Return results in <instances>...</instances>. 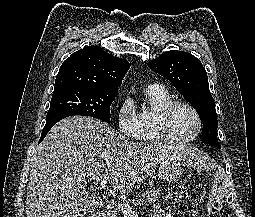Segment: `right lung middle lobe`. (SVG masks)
I'll return each instance as SVG.
<instances>
[{
  "label": "right lung middle lobe",
  "mask_w": 255,
  "mask_h": 217,
  "mask_svg": "<svg viewBox=\"0 0 255 217\" xmlns=\"http://www.w3.org/2000/svg\"><path fill=\"white\" fill-rule=\"evenodd\" d=\"M116 91L98 90L83 86L54 88L49 118L59 113L91 116L105 122L110 121V106Z\"/></svg>",
  "instance_id": "right-lung-middle-lobe-1"
}]
</instances>
